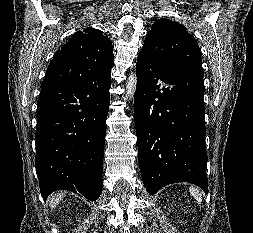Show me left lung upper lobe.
I'll return each instance as SVG.
<instances>
[{
    "mask_svg": "<svg viewBox=\"0 0 253 233\" xmlns=\"http://www.w3.org/2000/svg\"><path fill=\"white\" fill-rule=\"evenodd\" d=\"M141 52L170 78L177 79L187 73L204 76L199 46L178 22L157 20L146 35Z\"/></svg>",
    "mask_w": 253,
    "mask_h": 233,
    "instance_id": "obj_1",
    "label": "left lung upper lobe"
}]
</instances>
